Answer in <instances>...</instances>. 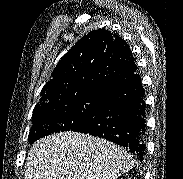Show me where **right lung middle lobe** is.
Masks as SVG:
<instances>
[{"label":"right lung middle lobe","instance_id":"dd1d6c3e","mask_svg":"<svg viewBox=\"0 0 183 179\" xmlns=\"http://www.w3.org/2000/svg\"><path fill=\"white\" fill-rule=\"evenodd\" d=\"M101 100L102 94H87L36 106L29 142L52 133L78 130L94 116Z\"/></svg>","mask_w":183,"mask_h":179}]
</instances>
